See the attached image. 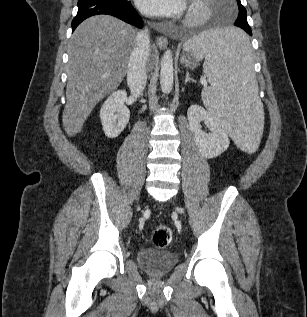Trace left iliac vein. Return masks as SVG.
Instances as JSON below:
<instances>
[{
	"label": "left iliac vein",
	"mask_w": 307,
	"mask_h": 317,
	"mask_svg": "<svg viewBox=\"0 0 307 317\" xmlns=\"http://www.w3.org/2000/svg\"><path fill=\"white\" fill-rule=\"evenodd\" d=\"M177 211H178V212H181V210H180L179 208H177Z\"/></svg>",
	"instance_id": "left-iliac-vein-1"
}]
</instances>
